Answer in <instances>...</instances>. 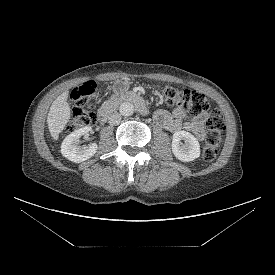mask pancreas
<instances>
[{"mask_svg":"<svg viewBox=\"0 0 275 275\" xmlns=\"http://www.w3.org/2000/svg\"><path fill=\"white\" fill-rule=\"evenodd\" d=\"M117 95L116 94H114V95H112L111 97H110V100H117Z\"/></svg>","mask_w":275,"mask_h":275,"instance_id":"obj_1","label":"pancreas"}]
</instances>
